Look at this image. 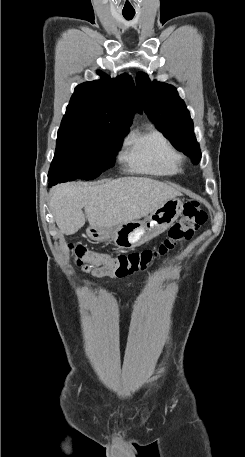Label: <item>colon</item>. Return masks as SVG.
I'll list each match as a JSON object with an SVG mask.
<instances>
[{
    "mask_svg": "<svg viewBox=\"0 0 245 457\" xmlns=\"http://www.w3.org/2000/svg\"><path fill=\"white\" fill-rule=\"evenodd\" d=\"M206 217L200 203L193 200L184 204L182 217L169 229L167 238L157 248L118 256L91 251L83 244H71L69 250L78 266L90 264L95 268H109L118 278L132 276L144 272L179 243L189 239L206 221Z\"/></svg>",
    "mask_w": 245,
    "mask_h": 457,
    "instance_id": "obj_1",
    "label": "colon"
}]
</instances>
